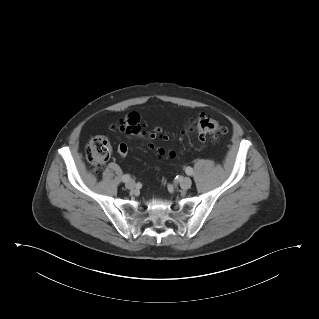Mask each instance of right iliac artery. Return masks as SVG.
<instances>
[{"mask_svg": "<svg viewBox=\"0 0 319 319\" xmlns=\"http://www.w3.org/2000/svg\"><path fill=\"white\" fill-rule=\"evenodd\" d=\"M130 178H131V177H130L129 174H125V175L122 176V181H123V182H128V181L130 180Z\"/></svg>", "mask_w": 319, "mask_h": 319, "instance_id": "1", "label": "right iliac artery"}]
</instances>
